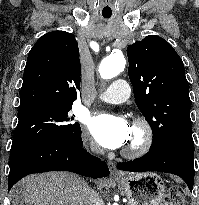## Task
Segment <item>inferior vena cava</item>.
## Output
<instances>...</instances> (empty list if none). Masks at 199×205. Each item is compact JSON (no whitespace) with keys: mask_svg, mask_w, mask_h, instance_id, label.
I'll return each instance as SVG.
<instances>
[{"mask_svg":"<svg viewBox=\"0 0 199 205\" xmlns=\"http://www.w3.org/2000/svg\"><path fill=\"white\" fill-rule=\"evenodd\" d=\"M91 150L93 152L100 151V149L98 147H92ZM84 192H85V195L87 197V204L88 205H104L101 197L94 190L89 188L88 185L84 188Z\"/></svg>","mask_w":199,"mask_h":205,"instance_id":"obj_1","label":"inferior vena cava"}]
</instances>
